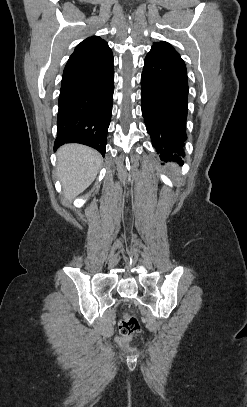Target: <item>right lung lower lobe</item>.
Returning a JSON list of instances; mask_svg holds the SVG:
<instances>
[{"instance_id":"right-lung-lower-lobe-1","label":"right lung lower lobe","mask_w":247,"mask_h":407,"mask_svg":"<svg viewBox=\"0 0 247 407\" xmlns=\"http://www.w3.org/2000/svg\"><path fill=\"white\" fill-rule=\"evenodd\" d=\"M114 92L113 56L63 82L59 95L54 150L81 143L105 155Z\"/></svg>"}]
</instances>
